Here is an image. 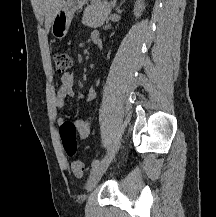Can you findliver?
<instances>
[{
    "mask_svg": "<svg viewBox=\"0 0 216 217\" xmlns=\"http://www.w3.org/2000/svg\"><path fill=\"white\" fill-rule=\"evenodd\" d=\"M64 0H43L45 12V28L47 32L50 29L54 15L61 7Z\"/></svg>",
    "mask_w": 216,
    "mask_h": 217,
    "instance_id": "6515ba94",
    "label": "liver"
}]
</instances>
